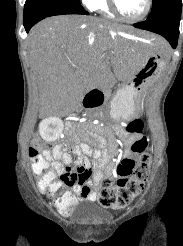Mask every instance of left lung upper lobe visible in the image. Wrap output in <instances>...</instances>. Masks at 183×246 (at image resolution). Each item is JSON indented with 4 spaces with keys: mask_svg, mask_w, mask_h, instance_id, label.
<instances>
[{
    "mask_svg": "<svg viewBox=\"0 0 183 246\" xmlns=\"http://www.w3.org/2000/svg\"><path fill=\"white\" fill-rule=\"evenodd\" d=\"M180 0H153L152 10L148 18L157 16L160 12L167 9L171 4Z\"/></svg>",
    "mask_w": 183,
    "mask_h": 246,
    "instance_id": "obj_1",
    "label": "left lung upper lobe"
}]
</instances>
